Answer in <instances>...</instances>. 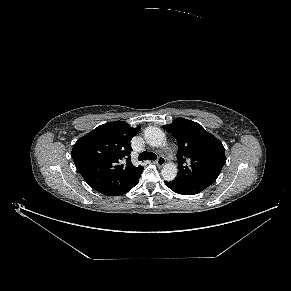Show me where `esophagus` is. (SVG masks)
I'll return each instance as SVG.
<instances>
[{"instance_id": "1", "label": "esophagus", "mask_w": 291, "mask_h": 291, "mask_svg": "<svg viewBox=\"0 0 291 291\" xmlns=\"http://www.w3.org/2000/svg\"><path fill=\"white\" fill-rule=\"evenodd\" d=\"M155 163L157 166L162 167L166 163V160L163 156H159Z\"/></svg>"}]
</instances>
